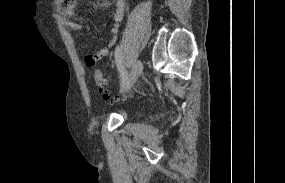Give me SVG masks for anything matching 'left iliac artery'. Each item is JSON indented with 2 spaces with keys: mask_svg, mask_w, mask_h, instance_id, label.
Listing matches in <instances>:
<instances>
[{
  "mask_svg": "<svg viewBox=\"0 0 285 183\" xmlns=\"http://www.w3.org/2000/svg\"><path fill=\"white\" fill-rule=\"evenodd\" d=\"M114 56H115V62H116L117 68H118L120 75H121V87H123L128 81V73H127L124 65L122 64L121 47L120 46L116 47Z\"/></svg>",
  "mask_w": 285,
  "mask_h": 183,
  "instance_id": "left-iliac-artery-1",
  "label": "left iliac artery"
}]
</instances>
